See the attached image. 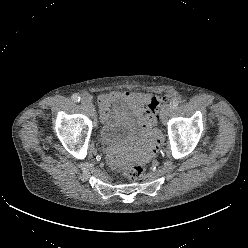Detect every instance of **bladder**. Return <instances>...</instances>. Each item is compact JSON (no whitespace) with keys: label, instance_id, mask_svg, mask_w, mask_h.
I'll return each instance as SVG.
<instances>
[{"label":"bladder","instance_id":"1","mask_svg":"<svg viewBox=\"0 0 248 248\" xmlns=\"http://www.w3.org/2000/svg\"><path fill=\"white\" fill-rule=\"evenodd\" d=\"M138 129V120L130 109L124 105H117L113 114L106 119L99 131V140L103 145L125 140Z\"/></svg>","mask_w":248,"mask_h":248}]
</instances>
